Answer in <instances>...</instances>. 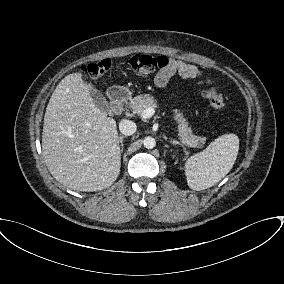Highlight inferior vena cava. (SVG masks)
I'll return each instance as SVG.
<instances>
[{"instance_id": "inferior-vena-cava-1", "label": "inferior vena cava", "mask_w": 284, "mask_h": 284, "mask_svg": "<svg viewBox=\"0 0 284 284\" xmlns=\"http://www.w3.org/2000/svg\"><path fill=\"white\" fill-rule=\"evenodd\" d=\"M136 129V123L131 120L123 119L119 123V130L125 136L133 135L136 132Z\"/></svg>"}]
</instances>
